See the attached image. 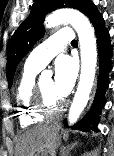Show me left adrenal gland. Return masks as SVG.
Masks as SVG:
<instances>
[{"label":"left adrenal gland","instance_id":"1","mask_svg":"<svg viewBox=\"0 0 114 156\" xmlns=\"http://www.w3.org/2000/svg\"><path fill=\"white\" fill-rule=\"evenodd\" d=\"M75 145H77V142L75 143H72L71 145L67 146V147H64L62 150H61V156H67V154L69 153V151L71 149H73L75 147Z\"/></svg>","mask_w":114,"mask_h":156}]
</instances>
